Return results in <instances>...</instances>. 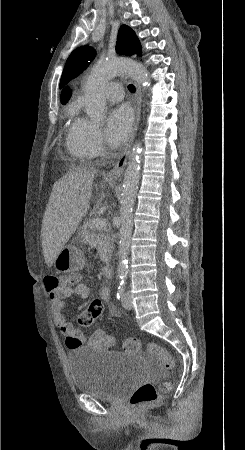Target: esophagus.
<instances>
[{"label":"esophagus","mask_w":245,"mask_h":450,"mask_svg":"<svg viewBox=\"0 0 245 450\" xmlns=\"http://www.w3.org/2000/svg\"><path fill=\"white\" fill-rule=\"evenodd\" d=\"M135 87H136V93H135V98H136V117H135V123H134V127L129 139L128 144L126 145L123 153L121 154V156L119 157L115 167L107 173L106 177L109 179H117L119 178L124 169L125 166L127 164V159L131 150V146L132 143L134 141L137 129H138V125H139V121H140V115H141V100H142V95H141V89L140 86L135 83Z\"/></svg>","instance_id":"esophagus-1"}]
</instances>
